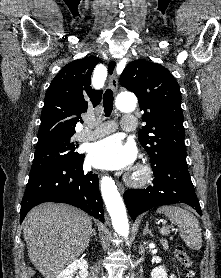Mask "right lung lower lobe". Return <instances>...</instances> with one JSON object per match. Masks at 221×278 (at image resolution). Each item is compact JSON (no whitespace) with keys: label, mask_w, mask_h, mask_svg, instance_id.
<instances>
[{"label":"right lung lower lobe","mask_w":221,"mask_h":278,"mask_svg":"<svg viewBox=\"0 0 221 278\" xmlns=\"http://www.w3.org/2000/svg\"><path fill=\"white\" fill-rule=\"evenodd\" d=\"M84 155L77 160L52 164L29 175L21 202L20 222L34 206L62 202L76 206L104 222L98 175L83 169Z\"/></svg>","instance_id":"1"}]
</instances>
